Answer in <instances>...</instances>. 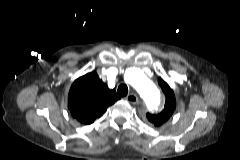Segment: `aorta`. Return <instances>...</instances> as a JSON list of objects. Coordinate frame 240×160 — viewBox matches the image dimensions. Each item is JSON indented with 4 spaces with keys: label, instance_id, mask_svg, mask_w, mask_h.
Instances as JSON below:
<instances>
[{
    "label": "aorta",
    "instance_id": "obj_1",
    "mask_svg": "<svg viewBox=\"0 0 240 160\" xmlns=\"http://www.w3.org/2000/svg\"><path fill=\"white\" fill-rule=\"evenodd\" d=\"M130 84L138 92L147 110L156 111L161 105V93L156 85L140 70L133 69Z\"/></svg>",
    "mask_w": 240,
    "mask_h": 160
}]
</instances>
